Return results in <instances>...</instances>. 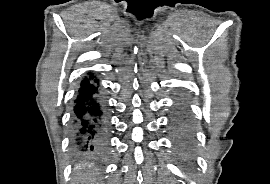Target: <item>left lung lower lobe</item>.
Returning <instances> with one entry per match:
<instances>
[{"instance_id": "1", "label": "left lung lower lobe", "mask_w": 270, "mask_h": 184, "mask_svg": "<svg viewBox=\"0 0 270 184\" xmlns=\"http://www.w3.org/2000/svg\"><path fill=\"white\" fill-rule=\"evenodd\" d=\"M176 152L179 156L189 158L194 153V128L188 112L183 104L177 105L170 121Z\"/></svg>"}]
</instances>
